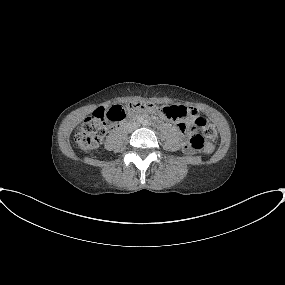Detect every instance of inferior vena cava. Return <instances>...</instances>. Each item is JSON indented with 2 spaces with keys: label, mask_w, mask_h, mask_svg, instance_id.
I'll list each match as a JSON object with an SVG mask.
<instances>
[{
  "label": "inferior vena cava",
  "mask_w": 285,
  "mask_h": 285,
  "mask_svg": "<svg viewBox=\"0 0 285 285\" xmlns=\"http://www.w3.org/2000/svg\"><path fill=\"white\" fill-rule=\"evenodd\" d=\"M136 128H138V124H136V123L129 124V125L127 126V130H128V131H132V130H134V129H136Z\"/></svg>",
  "instance_id": "obj_1"
}]
</instances>
